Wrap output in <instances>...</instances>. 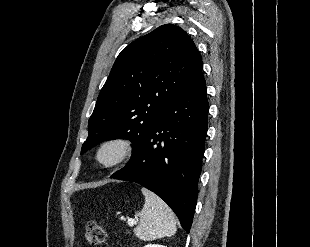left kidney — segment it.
Here are the masks:
<instances>
[{"mask_svg": "<svg viewBox=\"0 0 310 247\" xmlns=\"http://www.w3.org/2000/svg\"><path fill=\"white\" fill-rule=\"evenodd\" d=\"M144 247H167V246L158 245V244H147Z\"/></svg>", "mask_w": 310, "mask_h": 247, "instance_id": "5707ae66", "label": "left kidney"}]
</instances>
